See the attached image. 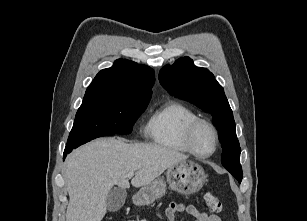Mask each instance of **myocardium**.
<instances>
[{
  "label": "myocardium",
  "mask_w": 307,
  "mask_h": 221,
  "mask_svg": "<svg viewBox=\"0 0 307 221\" xmlns=\"http://www.w3.org/2000/svg\"><path fill=\"white\" fill-rule=\"evenodd\" d=\"M200 126H205L207 127L214 138V147L212 149V151L210 153L207 154H202L200 152H198L194 146L193 143V136L196 132V130L200 127ZM183 143L185 145V147L187 148V150L193 154L194 156L198 157V158H209L211 157L217 150L218 145H219V136H218V132L215 128V126L208 120L203 119V118H196L193 121H191L190 123H188V125L186 126L184 133H183Z\"/></svg>",
  "instance_id": "1"
}]
</instances>
